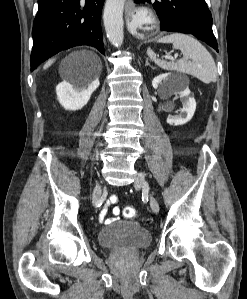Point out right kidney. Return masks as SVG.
<instances>
[{"label": "right kidney", "mask_w": 247, "mask_h": 299, "mask_svg": "<svg viewBox=\"0 0 247 299\" xmlns=\"http://www.w3.org/2000/svg\"><path fill=\"white\" fill-rule=\"evenodd\" d=\"M99 84L98 78L85 86H74L67 81H63L56 87L57 98L66 110H79L88 103Z\"/></svg>", "instance_id": "obj_1"}]
</instances>
